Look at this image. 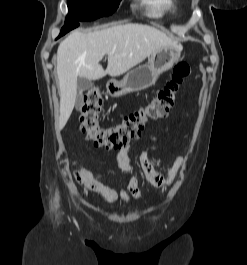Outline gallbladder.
<instances>
[{"instance_id": "gallbladder-1", "label": "gallbladder", "mask_w": 247, "mask_h": 265, "mask_svg": "<svg viewBox=\"0 0 247 265\" xmlns=\"http://www.w3.org/2000/svg\"><path fill=\"white\" fill-rule=\"evenodd\" d=\"M93 86V83L91 80L83 77H79L77 80V88H78V97H77V107L79 108L81 106V98L82 93L85 90L90 89Z\"/></svg>"}]
</instances>
